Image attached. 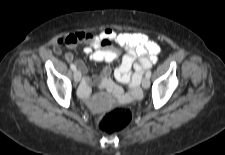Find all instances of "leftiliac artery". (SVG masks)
<instances>
[{"label":"left iliac artery","mask_w":225,"mask_h":155,"mask_svg":"<svg viewBox=\"0 0 225 155\" xmlns=\"http://www.w3.org/2000/svg\"><path fill=\"white\" fill-rule=\"evenodd\" d=\"M146 77H148V78L151 77V71L150 70L146 72Z\"/></svg>","instance_id":"left-iliac-artery-1"}]
</instances>
